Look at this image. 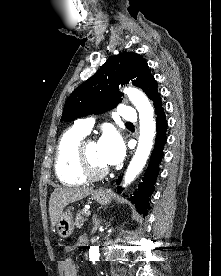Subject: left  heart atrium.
Here are the masks:
<instances>
[{
	"mask_svg": "<svg viewBox=\"0 0 221 276\" xmlns=\"http://www.w3.org/2000/svg\"><path fill=\"white\" fill-rule=\"evenodd\" d=\"M99 155L107 165H115L124 156V145L121 137L115 131H106L98 142Z\"/></svg>",
	"mask_w": 221,
	"mask_h": 276,
	"instance_id": "1",
	"label": "left heart atrium"
}]
</instances>
